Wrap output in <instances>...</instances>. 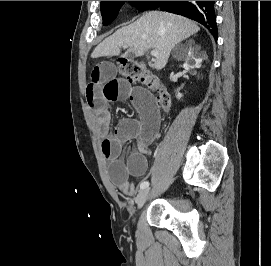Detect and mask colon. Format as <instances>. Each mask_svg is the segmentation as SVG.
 Returning <instances> with one entry per match:
<instances>
[{
	"instance_id": "colon-1",
	"label": "colon",
	"mask_w": 271,
	"mask_h": 266,
	"mask_svg": "<svg viewBox=\"0 0 271 266\" xmlns=\"http://www.w3.org/2000/svg\"><path fill=\"white\" fill-rule=\"evenodd\" d=\"M119 74L130 82H138L149 88L155 95L157 105L168 110L170 97L160 80L152 74L144 63L127 58H120L116 62Z\"/></svg>"
}]
</instances>
